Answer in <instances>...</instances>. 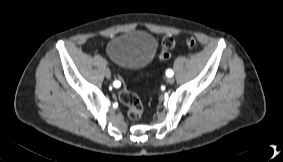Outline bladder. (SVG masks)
Segmentation results:
<instances>
[{"label": "bladder", "mask_w": 283, "mask_h": 162, "mask_svg": "<svg viewBox=\"0 0 283 162\" xmlns=\"http://www.w3.org/2000/svg\"><path fill=\"white\" fill-rule=\"evenodd\" d=\"M157 50L156 38L144 31L124 32L114 37L107 45V52L115 62L134 69L148 65Z\"/></svg>", "instance_id": "1"}]
</instances>
